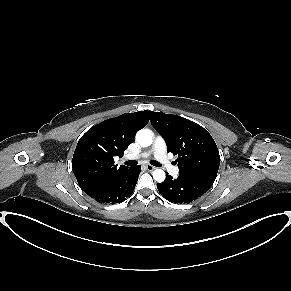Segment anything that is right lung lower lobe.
<instances>
[{"label":"right lung lower lobe","mask_w":291,"mask_h":291,"mask_svg":"<svg viewBox=\"0 0 291 291\" xmlns=\"http://www.w3.org/2000/svg\"><path fill=\"white\" fill-rule=\"evenodd\" d=\"M140 172V165L130 167L109 184L89 194V196L104 204L122 202L132 194Z\"/></svg>","instance_id":"obj_1"}]
</instances>
